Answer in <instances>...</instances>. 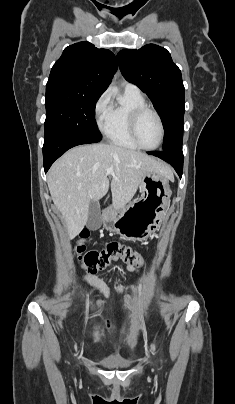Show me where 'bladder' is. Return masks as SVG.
I'll use <instances>...</instances> for the list:
<instances>
[{
	"mask_svg": "<svg viewBox=\"0 0 235 404\" xmlns=\"http://www.w3.org/2000/svg\"><path fill=\"white\" fill-rule=\"evenodd\" d=\"M102 363L105 366L117 367V368H126V367L130 366L129 363L120 362V361H117V360H114V359L105 360Z\"/></svg>",
	"mask_w": 235,
	"mask_h": 404,
	"instance_id": "1",
	"label": "bladder"
}]
</instances>
